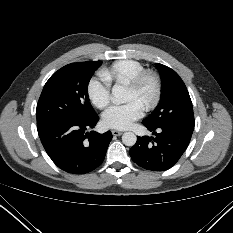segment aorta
Instances as JSON below:
<instances>
[{"mask_svg":"<svg viewBox=\"0 0 233 233\" xmlns=\"http://www.w3.org/2000/svg\"><path fill=\"white\" fill-rule=\"evenodd\" d=\"M112 94L116 99L124 101L125 95H126V90L123 86L116 84L112 88ZM136 141H137V137L132 132H126L122 135V142L126 146H133V145H135Z\"/></svg>","mask_w":233,"mask_h":233,"instance_id":"aorta-1","label":"aorta"}]
</instances>
